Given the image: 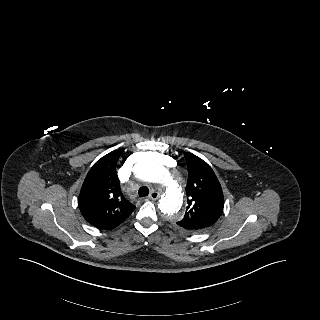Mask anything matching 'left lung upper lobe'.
<instances>
[{
	"instance_id": "left-lung-upper-lobe-1",
	"label": "left lung upper lobe",
	"mask_w": 320,
	"mask_h": 320,
	"mask_svg": "<svg viewBox=\"0 0 320 320\" xmlns=\"http://www.w3.org/2000/svg\"><path fill=\"white\" fill-rule=\"evenodd\" d=\"M184 157L188 167V206L177 225L192 232L202 231L220 217L224 206L223 192L215 173L205 161L187 152Z\"/></svg>"
}]
</instances>
